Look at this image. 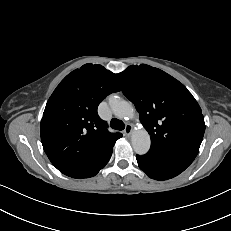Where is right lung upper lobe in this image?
Returning a JSON list of instances; mask_svg holds the SVG:
<instances>
[{"instance_id":"right-lung-upper-lobe-1","label":"right lung upper lobe","mask_w":231,"mask_h":231,"mask_svg":"<svg viewBox=\"0 0 231 231\" xmlns=\"http://www.w3.org/2000/svg\"><path fill=\"white\" fill-rule=\"evenodd\" d=\"M116 75L101 65H83L68 74L49 98L41 120V141L52 164L70 176L113 148L121 133H110L97 108L120 91Z\"/></svg>"}]
</instances>
